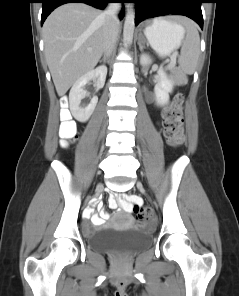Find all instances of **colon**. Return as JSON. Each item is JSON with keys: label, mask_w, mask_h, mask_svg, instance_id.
I'll list each match as a JSON object with an SVG mask.
<instances>
[{"label": "colon", "mask_w": 239, "mask_h": 296, "mask_svg": "<svg viewBox=\"0 0 239 296\" xmlns=\"http://www.w3.org/2000/svg\"><path fill=\"white\" fill-rule=\"evenodd\" d=\"M61 145L67 147L73 140L76 134V127L73 121L70 119V115L67 111L61 113ZM164 130L168 139V143L177 147L182 144L183 141V95L177 94L164 112ZM133 213L135 218L139 221H147L153 217V211L150 207H146L140 204H135L133 207Z\"/></svg>", "instance_id": "colon-1"}]
</instances>
